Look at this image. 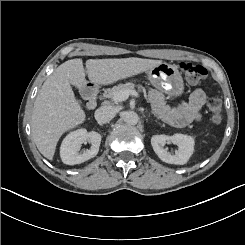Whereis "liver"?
Returning <instances> with one entry per match:
<instances>
[{"label":"liver","instance_id":"liver-1","mask_svg":"<svg viewBox=\"0 0 245 245\" xmlns=\"http://www.w3.org/2000/svg\"><path fill=\"white\" fill-rule=\"evenodd\" d=\"M160 60L142 58L89 59L86 62L92 82L110 83L160 64ZM85 80L82 59L61 64L44 82L34 103L31 130L39 151L51 159L61 134L83 121L84 113L74 98L71 84Z\"/></svg>","mask_w":245,"mask_h":245}]
</instances>
